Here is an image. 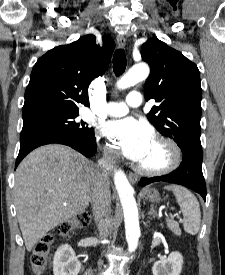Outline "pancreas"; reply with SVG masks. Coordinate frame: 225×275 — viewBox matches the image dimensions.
Masks as SVG:
<instances>
[{
  "label": "pancreas",
  "mask_w": 225,
  "mask_h": 275,
  "mask_svg": "<svg viewBox=\"0 0 225 275\" xmlns=\"http://www.w3.org/2000/svg\"><path fill=\"white\" fill-rule=\"evenodd\" d=\"M168 228L177 236L181 235V230L179 228V224L174 220H167Z\"/></svg>",
  "instance_id": "obj_1"
}]
</instances>
